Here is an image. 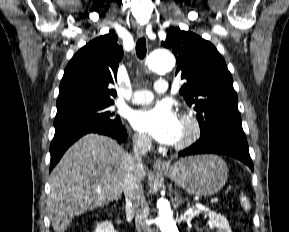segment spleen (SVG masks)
<instances>
[{
	"instance_id": "3e777b00",
	"label": "spleen",
	"mask_w": 289,
	"mask_h": 232,
	"mask_svg": "<svg viewBox=\"0 0 289 232\" xmlns=\"http://www.w3.org/2000/svg\"><path fill=\"white\" fill-rule=\"evenodd\" d=\"M241 205L243 206L244 209H250V203L248 201V199L243 195V193L241 194Z\"/></svg>"
}]
</instances>
